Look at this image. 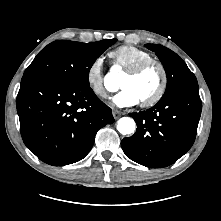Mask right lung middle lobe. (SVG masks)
Segmentation results:
<instances>
[{
  "instance_id": "1",
  "label": "right lung middle lobe",
  "mask_w": 221,
  "mask_h": 221,
  "mask_svg": "<svg viewBox=\"0 0 221 221\" xmlns=\"http://www.w3.org/2000/svg\"><path fill=\"white\" fill-rule=\"evenodd\" d=\"M116 39L81 43L58 40L48 44L25 70V76H50L77 84L89 85V71L96 59Z\"/></svg>"
}]
</instances>
